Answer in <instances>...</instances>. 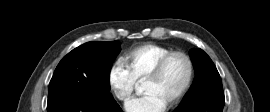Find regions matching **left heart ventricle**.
<instances>
[{"mask_svg":"<svg viewBox=\"0 0 270 112\" xmlns=\"http://www.w3.org/2000/svg\"><path fill=\"white\" fill-rule=\"evenodd\" d=\"M187 75L186 61L179 56L173 57L158 79L144 82L143 90L158 95L167 104L180 92Z\"/></svg>","mask_w":270,"mask_h":112,"instance_id":"left-heart-ventricle-1","label":"left heart ventricle"}]
</instances>
